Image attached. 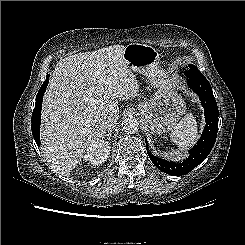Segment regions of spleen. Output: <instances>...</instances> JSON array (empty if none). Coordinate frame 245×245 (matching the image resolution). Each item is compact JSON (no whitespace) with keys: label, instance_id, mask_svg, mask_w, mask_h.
Listing matches in <instances>:
<instances>
[{"label":"spleen","instance_id":"3e777b00","mask_svg":"<svg viewBox=\"0 0 245 245\" xmlns=\"http://www.w3.org/2000/svg\"><path fill=\"white\" fill-rule=\"evenodd\" d=\"M170 137L171 140L182 149L194 145L198 138L197 121L194 115L191 113L185 115L173 128Z\"/></svg>","mask_w":245,"mask_h":245}]
</instances>
